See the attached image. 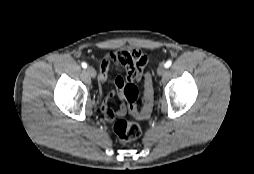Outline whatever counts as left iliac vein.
I'll use <instances>...</instances> for the list:
<instances>
[{"label":"left iliac vein","mask_w":254,"mask_h":174,"mask_svg":"<svg viewBox=\"0 0 254 174\" xmlns=\"http://www.w3.org/2000/svg\"><path fill=\"white\" fill-rule=\"evenodd\" d=\"M165 72H166V67L163 64L159 65V67L157 69V74L159 76H162L165 74Z\"/></svg>","instance_id":"1"}]
</instances>
